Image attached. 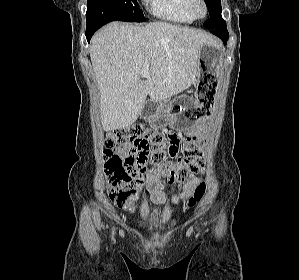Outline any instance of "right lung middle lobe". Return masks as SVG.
Instances as JSON below:
<instances>
[{"instance_id":"1","label":"right lung middle lobe","mask_w":299,"mask_h":280,"mask_svg":"<svg viewBox=\"0 0 299 280\" xmlns=\"http://www.w3.org/2000/svg\"><path fill=\"white\" fill-rule=\"evenodd\" d=\"M102 1L107 2L113 5L114 7H116L117 9H119L121 12L126 14L131 19V21H135V22L146 21L143 12L139 9L137 0H102Z\"/></svg>"}]
</instances>
